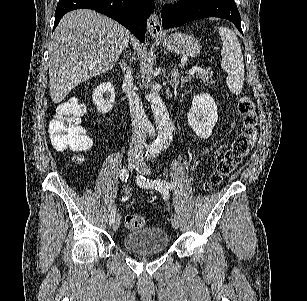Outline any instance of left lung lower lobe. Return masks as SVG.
<instances>
[{
	"instance_id": "left-lung-lower-lobe-1",
	"label": "left lung lower lobe",
	"mask_w": 307,
	"mask_h": 301,
	"mask_svg": "<svg viewBox=\"0 0 307 301\" xmlns=\"http://www.w3.org/2000/svg\"><path fill=\"white\" fill-rule=\"evenodd\" d=\"M161 15L165 29L197 19L219 17L231 21L242 33L240 14L233 0H180L164 5Z\"/></svg>"
}]
</instances>
